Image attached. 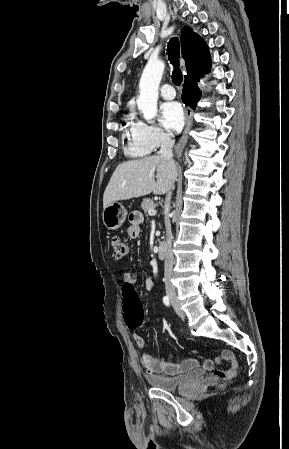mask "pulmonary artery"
Returning a JSON list of instances; mask_svg holds the SVG:
<instances>
[{
    "instance_id": "1",
    "label": "pulmonary artery",
    "mask_w": 289,
    "mask_h": 449,
    "mask_svg": "<svg viewBox=\"0 0 289 449\" xmlns=\"http://www.w3.org/2000/svg\"><path fill=\"white\" fill-rule=\"evenodd\" d=\"M160 95L164 99H173L176 96L174 88L170 84H164L160 87Z\"/></svg>"
}]
</instances>
